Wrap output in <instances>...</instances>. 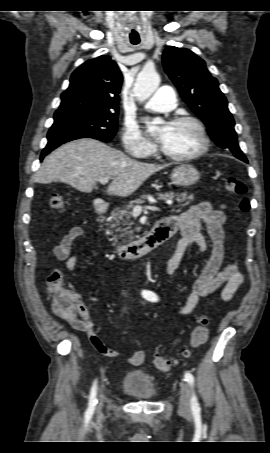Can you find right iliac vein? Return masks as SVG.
<instances>
[{
    "label": "right iliac vein",
    "instance_id": "63e3f726",
    "mask_svg": "<svg viewBox=\"0 0 270 453\" xmlns=\"http://www.w3.org/2000/svg\"><path fill=\"white\" fill-rule=\"evenodd\" d=\"M101 407H102V399H101V402H100V404H99V406H98V411H99V412H100V410H101Z\"/></svg>",
    "mask_w": 270,
    "mask_h": 453
}]
</instances>
